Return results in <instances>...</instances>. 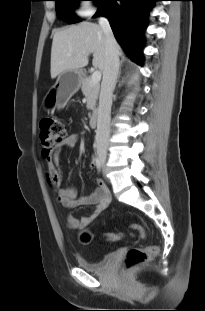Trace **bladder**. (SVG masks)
Instances as JSON below:
<instances>
[{
  "label": "bladder",
  "instance_id": "bladder-1",
  "mask_svg": "<svg viewBox=\"0 0 205 311\" xmlns=\"http://www.w3.org/2000/svg\"><path fill=\"white\" fill-rule=\"evenodd\" d=\"M114 258H115V253L110 252L104 255L102 260H100L99 262H90L87 260V258L84 255L79 254L77 256V262H78V265L86 271L102 272L105 270L107 265L114 260Z\"/></svg>",
  "mask_w": 205,
  "mask_h": 311
}]
</instances>
